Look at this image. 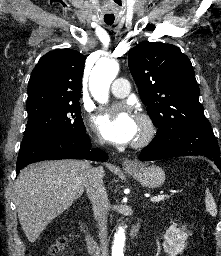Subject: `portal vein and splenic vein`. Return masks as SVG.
Wrapping results in <instances>:
<instances>
[{
	"label": "portal vein and splenic vein",
	"mask_w": 221,
	"mask_h": 256,
	"mask_svg": "<svg viewBox=\"0 0 221 256\" xmlns=\"http://www.w3.org/2000/svg\"><path fill=\"white\" fill-rule=\"evenodd\" d=\"M166 198H168V195L162 194V195H157V196L152 197L150 199V201L151 202H159V201L165 200Z\"/></svg>",
	"instance_id": "obj_1"
}]
</instances>
